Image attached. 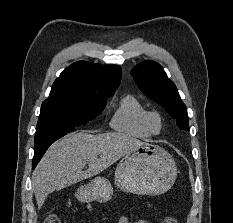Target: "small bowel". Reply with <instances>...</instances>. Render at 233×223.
<instances>
[{
	"label": "small bowel",
	"mask_w": 233,
	"mask_h": 223,
	"mask_svg": "<svg viewBox=\"0 0 233 223\" xmlns=\"http://www.w3.org/2000/svg\"><path fill=\"white\" fill-rule=\"evenodd\" d=\"M117 223H130V221L127 216L122 215L117 218ZM135 223H148V221L144 219H136Z\"/></svg>",
	"instance_id": "1"
}]
</instances>
